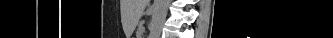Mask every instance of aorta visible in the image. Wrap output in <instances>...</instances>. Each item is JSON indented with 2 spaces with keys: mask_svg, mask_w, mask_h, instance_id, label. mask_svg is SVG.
<instances>
[{
  "mask_svg": "<svg viewBox=\"0 0 333 38\" xmlns=\"http://www.w3.org/2000/svg\"><path fill=\"white\" fill-rule=\"evenodd\" d=\"M169 0L154 1V16L149 38H159L167 15Z\"/></svg>",
  "mask_w": 333,
  "mask_h": 38,
  "instance_id": "aorta-1",
  "label": "aorta"
}]
</instances>
